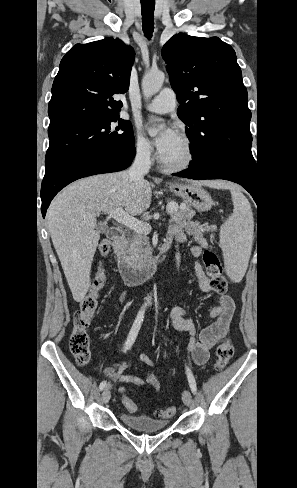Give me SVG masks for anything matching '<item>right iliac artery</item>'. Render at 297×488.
Returning a JSON list of instances; mask_svg holds the SVG:
<instances>
[{
  "mask_svg": "<svg viewBox=\"0 0 297 488\" xmlns=\"http://www.w3.org/2000/svg\"><path fill=\"white\" fill-rule=\"evenodd\" d=\"M144 313H145V309L141 308L137 314V317H136V319H135V321L131 327V330L128 334L127 340L124 344V349H123L124 352L129 350L132 347L133 343L135 342V339L138 335V332L140 330L141 324H142L143 319H144ZM105 387H106V381H102L99 385V389L103 390Z\"/></svg>",
  "mask_w": 297,
  "mask_h": 488,
  "instance_id": "82829eb1",
  "label": "right iliac artery"
}]
</instances>
